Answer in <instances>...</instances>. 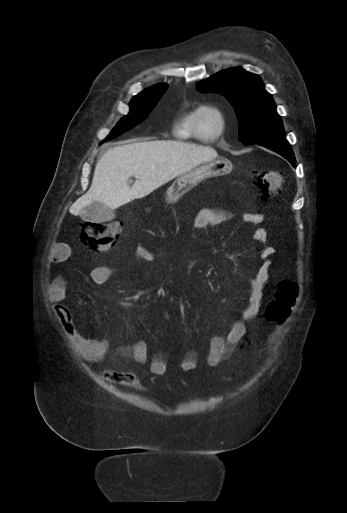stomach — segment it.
Segmentation results:
<instances>
[{
    "instance_id": "0dacf381",
    "label": "stomach",
    "mask_w": 347,
    "mask_h": 513,
    "mask_svg": "<svg viewBox=\"0 0 347 513\" xmlns=\"http://www.w3.org/2000/svg\"><path fill=\"white\" fill-rule=\"evenodd\" d=\"M232 169V163L226 158L218 157L211 161L203 162L202 164L188 170L179 176L172 184L167 192V202H174L179 195L185 193L202 180L210 177H216L227 174Z\"/></svg>"
}]
</instances>
